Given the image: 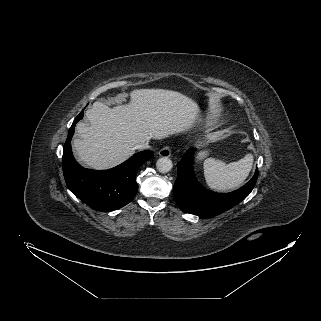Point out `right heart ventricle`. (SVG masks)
Segmentation results:
<instances>
[{
	"instance_id": "e07e8e85",
	"label": "right heart ventricle",
	"mask_w": 321,
	"mask_h": 321,
	"mask_svg": "<svg viewBox=\"0 0 321 321\" xmlns=\"http://www.w3.org/2000/svg\"><path fill=\"white\" fill-rule=\"evenodd\" d=\"M213 117H214L213 115H210V116L208 117V119L211 120V119H213Z\"/></svg>"
}]
</instances>
